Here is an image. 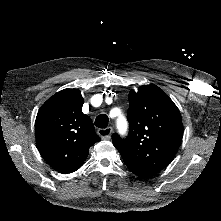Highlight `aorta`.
I'll return each mask as SVG.
<instances>
[{"instance_id": "1", "label": "aorta", "mask_w": 221, "mask_h": 221, "mask_svg": "<svg viewBox=\"0 0 221 221\" xmlns=\"http://www.w3.org/2000/svg\"><path fill=\"white\" fill-rule=\"evenodd\" d=\"M118 125H119V126H120V125H125V120H124L123 117H120V118L118 119Z\"/></svg>"}]
</instances>
